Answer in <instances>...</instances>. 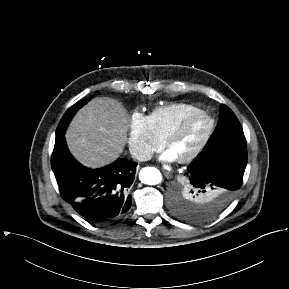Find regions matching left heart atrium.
<instances>
[{
    "instance_id": "39dd6f15",
    "label": "left heart atrium",
    "mask_w": 289,
    "mask_h": 289,
    "mask_svg": "<svg viewBox=\"0 0 289 289\" xmlns=\"http://www.w3.org/2000/svg\"><path fill=\"white\" fill-rule=\"evenodd\" d=\"M160 158L163 161H173L176 159V156L168 149L161 155Z\"/></svg>"
}]
</instances>
